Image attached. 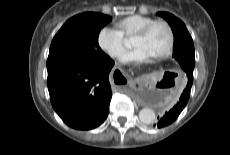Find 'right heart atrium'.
<instances>
[{
    "label": "right heart atrium",
    "instance_id": "1",
    "mask_svg": "<svg viewBox=\"0 0 230 155\" xmlns=\"http://www.w3.org/2000/svg\"><path fill=\"white\" fill-rule=\"evenodd\" d=\"M100 49L111 58H119L126 49V40L120 30L105 26L97 35Z\"/></svg>",
    "mask_w": 230,
    "mask_h": 155
}]
</instances>
